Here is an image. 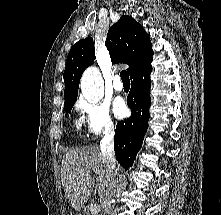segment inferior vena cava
Returning <instances> with one entry per match:
<instances>
[{"label": "inferior vena cava", "instance_id": "inferior-vena-cava-1", "mask_svg": "<svg viewBox=\"0 0 221 215\" xmlns=\"http://www.w3.org/2000/svg\"><path fill=\"white\" fill-rule=\"evenodd\" d=\"M100 148L103 158L106 161L108 168V184L106 185V190L101 196V214L111 215L112 205L111 199L114 194L115 187V158H114V131L106 130L105 134L100 142Z\"/></svg>", "mask_w": 221, "mask_h": 215}]
</instances>
